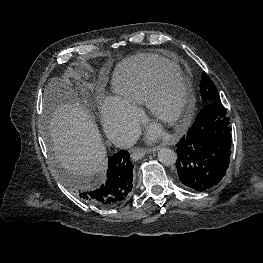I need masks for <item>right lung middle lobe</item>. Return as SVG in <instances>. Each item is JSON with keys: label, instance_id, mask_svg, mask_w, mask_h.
Returning a JSON list of instances; mask_svg holds the SVG:
<instances>
[{"label": "right lung middle lobe", "instance_id": "obj_1", "mask_svg": "<svg viewBox=\"0 0 263 263\" xmlns=\"http://www.w3.org/2000/svg\"><path fill=\"white\" fill-rule=\"evenodd\" d=\"M63 177L73 188H75L76 190L78 189V187L80 185L79 181H77L71 177H67V176H63Z\"/></svg>", "mask_w": 263, "mask_h": 263}]
</instances>
